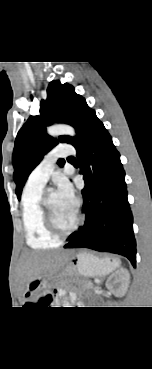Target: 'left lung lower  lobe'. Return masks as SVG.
Returning <instances> with one entry per match:
<instances>
[{"label":"left lung lower lobe","mask_w":152,"mask_h":369,"mask_svg":"<svg viewBox=\"0 0 152 369\" xmlns=\"http://www.w3.org/2000/svg\"><path fill=\"white\" fill-rule=\"evenodd\" d=\"M84 175L81 191L85 224L71 234L64 248H90L127 257L136 266L133 216L127 199L125 172L112 138L95 112L76 144Z\"/></svg>","instance_id":"1"}]
</instances>
